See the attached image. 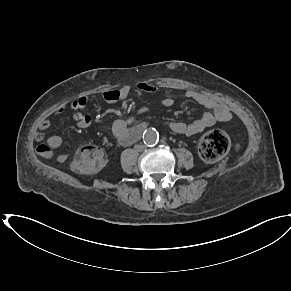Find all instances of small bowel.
Returning <instances> with one entry per match:
<instances>
[{
	"label": "small bowel",
	"mask_w": 291,
	"mask_h": 291,
	"mask_svg": "<svg viewBox=\"0 0 291 291\" xmlns=\"http://www.w3.org/2000/svg\"><path fill=\"white\" fill-rule=\"evenodd\" d=\"M138 88L143 92L149 93H155L158 91L154 85L146 81H141L138 84ZM130 92L131 88L129 86L108 89L103 93V98L107 103L115 106L125 103L129 98ZM182 97L185 100H193L197 102L204 108V112L199 118L190 123L181 121L168 123V128L177 134L188 136L198 134L218 122H228L232 118L231 111L226 105L215 101L204 93L186 89L183 91ZM173 103L174 100L171 97H165L162 100V105L166 108L171 107ZM87 104V97L82 96L73 100L67 106H61L55 109L48 117L41 121L39 130L35 134L36 141L40 142L44 140V133L50 127L52 119L62 116L67 109L72 110L73 121L78 127L87 128L91 126L93 118L90 114L85 113ZM146 112H148L147 107H140L131 118L127 120L118 119L113 123L112 131L120 144L125 146L130 145L141 137L143 131L146 129V123H140L137 125H134L133 123L138 116ZM62 145L63 139L58 135H52L47 138L46 144L37 147V152L43 157L52 158L54 156L53 150L60 148ZM41 146L46 148V152L39 149ZM68 157L67 154H60L56 157V160L63 163L68 160Z\"/></svg>",
	"instance_id": "c3829d8e"
}]
</instances>
